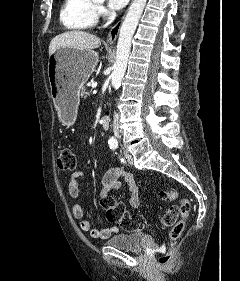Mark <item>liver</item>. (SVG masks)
<instances>
[{"instance_id":"liver-1","label":"liver","mask_w":240,"mask_h":281,"mask_svg":"<svg viewBox=\"0 0 240 281\" xmlns=\"http://www.w3.org/2000/svg\"><path fill=\"white\" fill-rule=\"evenodd\" d=\"M101 45V39L85 31H67L55 36L49 45V55L59 48H73L79 50H92Z\"/></svg>"}]
</instances>
